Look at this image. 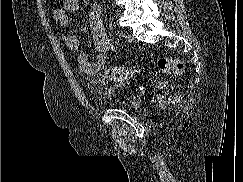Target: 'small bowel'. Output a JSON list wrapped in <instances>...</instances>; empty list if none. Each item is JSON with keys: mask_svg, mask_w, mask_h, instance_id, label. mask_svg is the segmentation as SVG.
Listing matches in <instances>:
<instances>
[{"mask_svg": "<svg viewBox=\"0 0 243 182\" xmlns=\"http://www.w3.org/2000/svg\"><path fill=\"white\" fill-rule=\"evenodd\" d=\"M79 4L80 0H62V6L53 12L54 20L62 27H68L70 23L68 14L76 11L79 8ZM89 25L96 52L94 60H90L88 55L82 51L77 36L69 32H64L62 38L66 46L76 53L81 72L89 76L92 84L105 87L107 81L100 71L106 64L107 54L114 50V43L104 26L102 9L99 5H93L91 7L89 12Z\"/></svg>", "mask_w": 243, "mask_h": 182, "instance_id": "obj_1", "label": "small bowel"}]
</instances>
